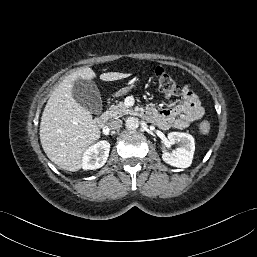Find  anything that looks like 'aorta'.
Returning <instances> with one entry per match:
<instances>
[{"label":"aorta","instance_id":"762f6f07","mask_svg":"<svg viewBox=\"0 0 257 257\" xmlns=\"http://www.w3.org/2000/svg\"><path fill=\"white\" fill-rule=\"evenodd\" d=\"M126 127L129 130H136L139 127V121L137 118L129 117L126 120Z\"/></svg>","mask_w":257,"mask_h":257}]
</instances>
